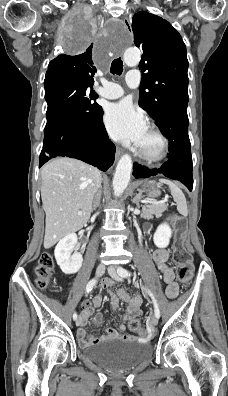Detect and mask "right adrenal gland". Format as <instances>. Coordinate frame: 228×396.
Wrapping results in <instances>:
<instances>
[{
    "label": "right adrenal gland",
    "mask_w": 228,
    "mask_h": 396,
    "mask_svg": "<svg viewBox=\"0 0 228 396\" xmlns=\"http://www.w3.org/2000/svg\"><path fill=\"white\" fill-rule=\"evenodd\" d=\"M101 189H102V187L99 188V190L97 191V193H96V195L94 197L92 211H94L100 204Z\"/></svg>",
    "instance_id": "obj_1"
}]
</instances>
